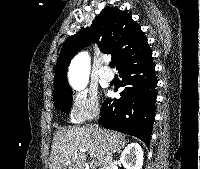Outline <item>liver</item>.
Listing matches in <instances>:
<instances>
[{
  "instance_id": "liver-1",
  "label": "liver",
  "mask_w": 200,
  "mask_h": 169,
  "mask_svg": "<svg viewBox=\"0 0 200 169\" xmlns=\"http://www.w3.org/2000/svg\"><path fill=\"white\" fill-rule=\"evenodd\" d=\"M124 135L93 127L61 129L54 134L49 159L50 169H84L87 154L101 169L107 151L124 147Z\"/></svg>"
}]
</instances>
